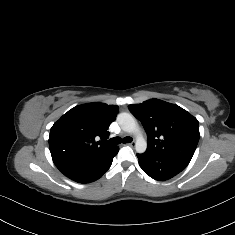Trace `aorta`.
Instances as JSON below:
<instances>
[{"mask_svg":"<svg viewBox=\"0 0 235 235\" xmlns=\"http://www.w3.org/2000/svg\"><path fill=\"white\" fill-rule=\"evenodd\" d=\"M117 122L121 129L126 132H136L138 128L135 118L130 113L118 114ZM135 149L137 153H144L147 149V142L141 132L136 136Z\"/></svg>","mask_w":235,"mask_h":235,"instance_id":"obj_1","label":"aorta"}]
</instances>
